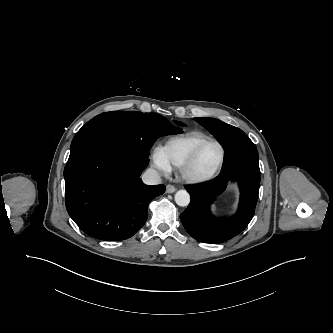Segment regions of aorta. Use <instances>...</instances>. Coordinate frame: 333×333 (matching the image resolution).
<instances>
[{"label":"aorta","mask_w":333,"mask_h":333,"mask_svg":"<svg viewBox=\"0 0 333 333\" xmlns=\"http://www.w3.org/2000/svg\"><path fill=\"white\" fill-rule=\"evenodd\" d=\"M175 202L178 206L185 207L190 203V195L185 190H179L174 196Z\"/></svg>","instance_id":"aorta-1"}]
</instances>
